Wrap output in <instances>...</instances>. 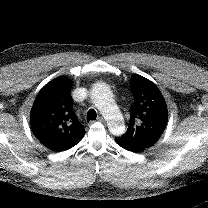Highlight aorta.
I'll use <instances>...</instances> for the list:
<instances>
[{"mask_svg": "<svg viewBox=\"0 0 208 208\" xmlns=\"http://www.w3.org/2000/svg\"><path fill=\"white\" fill-rule=\"evenodd\" d=\"M91 99L108 121L110 132L114 135L123 134L125 131L123 116L108 85L104 82L94 84L91 90Z\"/></svg>", "mask_w": 208, "mask_h": 208, "instance_id": "1", "label": "aorta"}]
</instances>
